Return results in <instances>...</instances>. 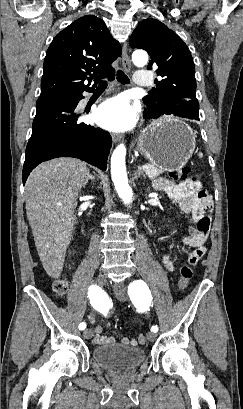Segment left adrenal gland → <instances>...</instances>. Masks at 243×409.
<instances>
[{
	"label": "left adrenal gland",
	"instance_id": "1",
	"mask_svg": "<svg viewBox=\"0 0 243 409\" xmlns=\"http://www.w3.org/2000/svg\"><path fill=\"white\" fill-rule=\"evenodd\" d=\"M141 175H143V171H142L141 166L139 165L137 171L135 172V179H138V177Z\"/></svg>",
	"mask_w": 243,
	"mask_h": 409
}]
</instances>
